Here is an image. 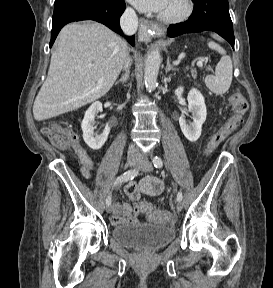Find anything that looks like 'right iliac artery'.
<instances>
[{
  "label": "right iliac artery",
  "mask_w": 273,
  "mask_h": 288,
  "mask_svg": "<svg viewBox=\"0 0 273 288\" xmlns=\"http://www.w3.org/2000/svg\"><path fill=\"white\" fill-rule=\"evenodd\" d=\"M138 171H139V169H137V168L126 171L121 176L117 177V179L114 182L113 187L121 184L122 182H127L129 180L134 179L137 176ZM106 204L107 205L111 204V193L108 195V197L106 199Z\"/></svg>",
  "instance_id": "82829eb1"
}]
</instances>
